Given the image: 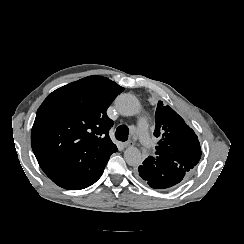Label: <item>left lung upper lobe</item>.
I'll use <instances>...</instances> for the list:
<instances>
[{"label": "left lung upper lobe", "instance_id": "obj_1", "mask_svg": "<svg viewBox=\"0 0 244 244\" xmlns=\"http://www.w3.org/2000/svg\"><path fill=\"white\" fill-rule=\"evenodd\" d=\"M154 135L159 137L154 157L170 160L175 167L190 171L200 160L201 148L195 132L171 107L158 102Z\"/></svg>", "mask_w": 244, "mask_h": 244}]
</instances>
